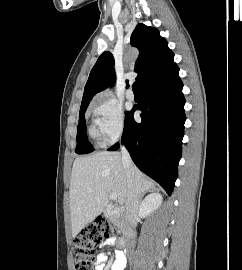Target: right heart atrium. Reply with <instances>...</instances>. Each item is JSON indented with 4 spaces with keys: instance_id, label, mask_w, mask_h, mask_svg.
Segmentation results:
<instances>
[{
    "instance_id": "obj_1",
    "label": "right heart atrium",
    "mask_w": 242,
    "mask_h": 270,
    "mask_svg": "<svg viewBox=\"0 0 242 270\" xmlns=\"http://www.w3.org/2000/svg\"><path fill=\"white\" fill-rule=\"evenodd\" d=\"M95 125L105 144L116 142L124 133L125 119L122 107L109 95L103 94L92 106Z\"/></svg>"
}]
</instances>
